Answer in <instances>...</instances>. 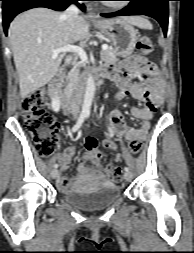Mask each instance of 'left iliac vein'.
<instances>
[{"mask_svg": "<svg viewBox=\"0 0 194 253\" xmlns=\"http://www.w3.org/2000/svg\"><path fill=\"white\" fill-rule=\"evenodd\" d=\"M124 178L126 181H131L132 180V173L129 171H126L124 174Z\"/></svg>", "mask_w": 194, "mask_h": 253, "instance_id": "left-iliac-vein-1", "label": "left iliac vein"}]
</instances>
